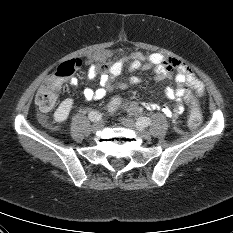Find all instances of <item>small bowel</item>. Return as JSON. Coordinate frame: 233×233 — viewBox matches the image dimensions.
Masks as SVG:
<instances>
[{
	"label": "small bowel",
	"instance_id": "small-bowel-1",
	"mask_svg": "<svg viewBox=\"0 0 233 233\" xmlns=\"http://www.w3.org/2000/svg\"><path fill=\"white\" fill-rule=\"evenodd\" d=\"M125 65H128L131 71L153 67L157 77L160 79H166L174 75L176 86L168 87L166 94L170 99L176 101V106L170 108L167 105L160 106L157 103H144L143 106L147 110H161L166 116L175 119L184 111V105L190 104L195 95L198 97L204 95L205 89L203 83L185 63L161 53L146 54L142 51H134L111 64L108 70L101 74L99 79L100 86L98 88L86 87L83 90L84 98L87 100H98L112 92L114 89L113 79L122 73ZM96 73V68L90 69L88 78H93ZM129 82L136 84L140 82V79L132 75L129 78ZM70 83L72 86H75L77 79L72 78ZM117 86L120 89H124L127 83L119 81ZM131 109L138 110L139 105L133 103L131 104Z\"/></svg>",
	"mask_w": 233,
	"mask_h": 233
}]
</instances>
